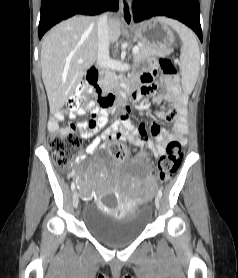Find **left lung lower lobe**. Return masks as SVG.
Instances as JSON below:
<instances>
[{"label": "left lung lower lobe", "instance_id": "0a47b994", "mask_svg": "<svg viewBox=\"0 0 238 278\" xmlns=\"http://www.w3.org/2000/svg\"><path fill=\"white\" fill-rule=\"evenodd\" d=\"M134 21L156 16L174 18L190 27L202 41L199 0H138L132 5Z\"/></svg>", "mask_w": 238, "mask_h": 278}]
</instances>
